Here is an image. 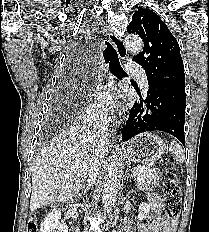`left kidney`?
<instances>
[{
	"label": "left kidney",
	"mask_w": 209,
	"mask_h": 232,
	"mask_svg": "<svg viewBox=\"0 0 209 232\" xmlns=\"http://www.w3.org/2000/svg\"><path fill=\"white\" fill-rule=\"evenodd\" d=\"M149 210H150V205L149 204L141 203V205L139 206L138 219L142 220L143 218H145L147 213H149Z\"/></svg>",
	"instance_id": "obj_1"
}]
</instances>
